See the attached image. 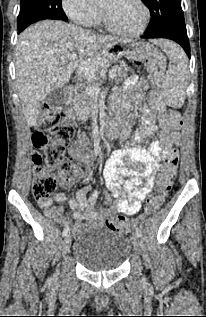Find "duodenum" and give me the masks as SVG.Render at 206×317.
<instances>
[{
	"label": "duodenum",
	"mask_w": 206,
	"mask_h": 317,
	"mask_svg": "<svg viewBox=\"0 0 206 317\" xmlns=\"http://www.w3.org/2000/svg\"><path fill=\"white\" fill-rule=\"evenodd\" d=\"M64 105H65V109L67 111V114L70 116V117H73V115H77L78 113V110L75 106V102L74 100H65L64 102ZM122 128L120 126V123L119 122H114L112 124H109L105 127V131H101L100 134L98 131H95L94 132V138L96 140H99L100 137L101 138H111V137H116V136H119V135H122Z\"/></svg>",
	"instance_id": "obj_1"
}]
</instances>
